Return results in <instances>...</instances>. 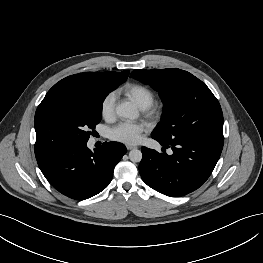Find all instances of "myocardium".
<instances>
[{
	"label": "myocardium",
	"instance_id": "obj_1",
	"mask_svg": "<svg viewBox=\"0 0 263 263\" xmlns=\"http://www.w3.org/2000/svg\"><path fill=\"white\" fill-rule=\"evenodd\" d=\"M145 116L150 119H156L161 114V107L157 104H151L149 107L142 109Z\"/></svg>",
	"mask_w": 263,
	"mask_h": 263
}]
</instances>
